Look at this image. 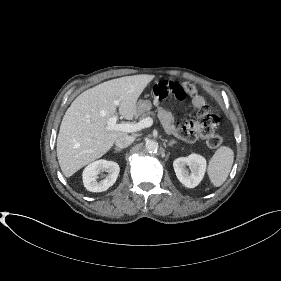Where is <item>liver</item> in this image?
Here are the masks:
<instances>
[{"label": "liver", "instance_id": "liver-1", "mask_svg": "<svg viewBox=\"0 0 281 281\" xmlns=\"http://www.w3.org/2000/svg\"><path fill=\"white\" fill-rule=\"evenodd\" d=\"M152 75H133L103 82L82 92L67 109L57 137V158L65 177L102 157L126 132L108 130V120L117 114L132 120L137 100ZM120 99L119 106L114 100Z\"/></svg>", "mask_w": 281, "mask_h": 281}]
</instances>
